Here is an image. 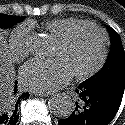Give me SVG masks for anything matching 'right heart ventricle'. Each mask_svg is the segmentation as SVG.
I'll list each match as a JSON object with an SVG mask.
<instances>
[{
  "instance_id": "obj_1",
  "label": "right heart ventricle",
  "mask_w": 125,
  "mask_h": 125,
  "mask_svg": "<svg viewBox=\"0 0 125 125\" xmlns=\"http://www.w3.org/2000/svg\"><path fill=\"white\" fill-rule=\"evenodd\" d=\"M83 22V20L75 17H62L55 18L50 21H47L43 24V29L49 35L53 36L55 39H58L62 36L70 27Z\"/></svg>"
}]
</instances>
